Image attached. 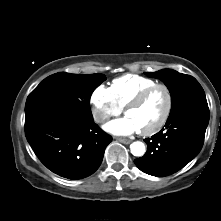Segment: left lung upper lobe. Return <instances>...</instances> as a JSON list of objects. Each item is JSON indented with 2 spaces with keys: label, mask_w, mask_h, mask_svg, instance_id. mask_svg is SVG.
<instances>
[{
  "label": "left lung upper lobe",
  "mask_w": 221,
  "mask_h": 221,
  "mask_svg": "<svg viewBox=\"0 0 221 221\" xmlns=\"http://www.w3.org/2000/svg\"><path fill=\"white\" fill-rule=\"evenodd\" d=\"M151 78L163 81L171 93V112L181 105L199 98H205V93L198 81L186 74L171 69H163L153 73H145Z\"/></svg>",
  "instance_id": "obj_1"
}]
</instances>
